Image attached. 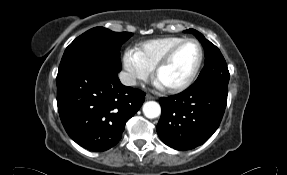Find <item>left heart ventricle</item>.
Listing matches in <instances>:
<instances>
[{
    "mask_svg": "<svg viewBox=\"0 0 287 175\" xmlns=\"http://www.w3.org/2000/svg\"><path fill=\"white\" fill-rule=\"evenodd\" d=\"M199 59V48L195 43H187L175 54L172 61L159 75L163 86H176L188 79Z\"/></svg>",
    "mask_w": 287,
    "mask_h": 175,
    "instance_id": "obj_1",
    "label": "left heart ventricle"
}]
</instances>
